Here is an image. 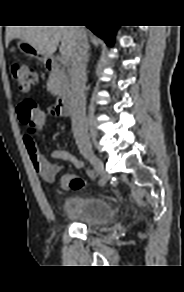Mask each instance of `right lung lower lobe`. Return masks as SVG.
I'll use <instances>...</instances> for the list:
<instances>
[{"mask_svg": "<svg viewBox=\"0 0 184 292\" xmlns=\"http://www.w3.org/2000/svg\"><path fill=\"white\" fill-rule=\"evenodd\" d=\"M87 27L92 30L97 36L104 39L108 45L114 42V35L117 31V26L90 24Z\"/></svg>", "mask_w": 184, "mask_h": 292, "instance_id": "right-lung-lower-lobe-1", "label": "right lung lower lobe"}]
</instances>
